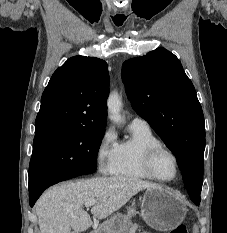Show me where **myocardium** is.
Returning a JSON list of instances; mask_svg holds the SVG:
<instances>
[{"label": "myocardium", "instance_id": "f54148a6", "mask_svg": "<svg viewBox=\"0 0 227 233\" xmlns=\"http://www.w3.org/2000/svg\"><path fill=\"white\" fill-rule=\"evenodd\" d=\"M161 152H166L168 153L174 160L175 163V174L172 178L170 179H164L162 177H160L154 168V162H155V158L157 157V155ZM142 164H143V168L146 171V173L154 180L160 181V182H172L175 179H177V177L180 174V162H179V158L176 155V153L168 148L167 146H164L162 144L160 145H154L151 146L149 148H147L143 154V158H142Z\"/></svg>", "mask_w": 227, "mask_h": 233}]
</instances>
